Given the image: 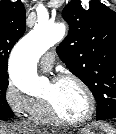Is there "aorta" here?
I'll list each match as a JSON object with an SVG mask.
<instances>
[{"label": "aorta", "mask_w": 116, "mask_h": 134, "mask_svg": "<svg viewBox=\"0 0 116 134\" xmlns=\"http://www.w3.org/2000/svg\"><path fill=\"white\" fill-rule=\"evenodd\" d=\"M63 24L38 22L14 47L9 62V74L14 85L29 95H37L46 84L38 76V59L65 35Z\"/></svg>", "instance_id": "1"}]
</instances>
